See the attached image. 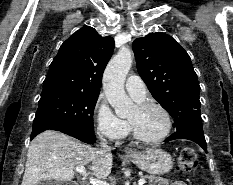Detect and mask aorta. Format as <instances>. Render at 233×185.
I'll return each instance as SVG.
<instances>
[{"label":"aorta","instance_id":"1","mask_svg":"<svg viewBox=\"0 0 233 185\" xmlns=\"http://www.w3.org/2000/svg\"><path fill=\"white\" fill-rule=\"evenodd\" d=\"M132 55L122 49L108 63L103 76V89L108 102L120 118H125L134 109L133 101L126 95L124 83L132 66Z\"/></svg>","mask_w":233,"mask_h":185}]
</instances>
